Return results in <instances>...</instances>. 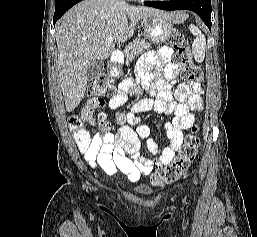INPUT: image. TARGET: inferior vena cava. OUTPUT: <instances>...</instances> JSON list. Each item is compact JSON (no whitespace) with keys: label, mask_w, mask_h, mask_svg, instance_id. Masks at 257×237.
Instances as JSON below:
<instances>
[{"label":"inferior vena cava","mask_w":257,"mask_h":237,"mask_svg":"<svg viewBox=\"0 0 257 237\" xmlns=\"http://www.w3.org/2000/svg\"><path fill=\"white\" fill-rule=\"evenodd\" d=\"M120 3H121V4H126L125 1H121Z\"/></svg>","instance_id":"1"}]
</instances>
